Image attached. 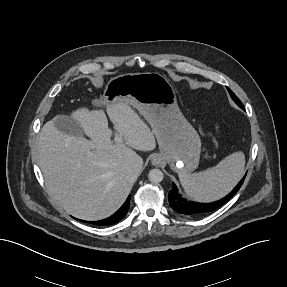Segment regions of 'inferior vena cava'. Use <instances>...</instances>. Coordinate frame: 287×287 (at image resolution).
<instances>
[{
	"instance_id": "inferior-vena-cava-1",
	"label": "inferior vena cava",
	"mask_w": 287,
	"mask_h": 287,
	"mask_svg": "<svg viewBox=\"0 0 287 287\" xmlns=\"http://www.w3.org/2000/svg\"><path fill=\"white\" fill-rule=\"evenodd\" d=\"M143 165V160L140 156L133 160L131 167L136 171H141Z\"/></svg>"
}]
</instances>
